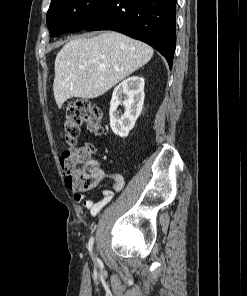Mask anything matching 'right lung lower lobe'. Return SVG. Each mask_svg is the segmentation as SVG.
<instances>
[{
	"label": "right lung lower lobe",
	"instance_id": "obj_1",
	"mask_svg": "<svg viewBox=\"0 0 247 296\" xmlns=\"http://www.w3.org/2000/svg\"><path fill=\"white\" fill-rule=\"evenodd\" d=\"M176 1L102 0L86 28L118 31L141 40L159 51L171 68L176 45Z\"/></svg>",
	"mask_w": 247,
	"mask_h": 296
}]
</instances>
